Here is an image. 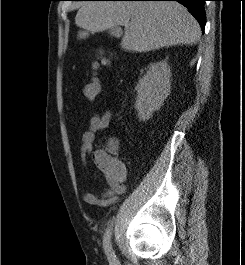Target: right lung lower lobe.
I'll use <instances>...</instances> for the list:
<instances>
[{
	"instance_id": "98d812e1",
	"label": "right lung lower lobe",
	"mask_w": 245,
	"mask_h": 265,
	"mask_svg": "<svg viewBox=\"0 0 245 265\" xmlns=\"http://www.w3.org/2000/svg\"><path fill=\"white\" fill-rule=\"evenodd\" d=\"M126 1H177L190 10V12L199 22L202 30L204 31L206 24V13L204 10V2L206 0H126Z\"/></svg>"
}]
</instances>
